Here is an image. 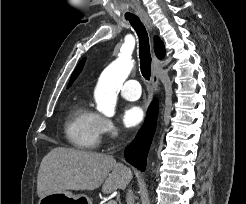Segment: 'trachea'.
Here are the masks:
<instances>
[{"label": "trachea", "instance_id": "1", "mask_svg": "<svg viewBox=\"0 0 246 204\" xmlns=\"http://www.w3.org/2000/svg\"><path fill=\"white\" fill-rule=\"evenodd\" d=\"M132 27L135 29L139 37V56H140V69L142 76L146 80H150L151 76V55L149 38L144 25L141 23L138 17L128 19Z\"/></svg>", "mask_w": 246, "mask_h": 204}]
</instances>
